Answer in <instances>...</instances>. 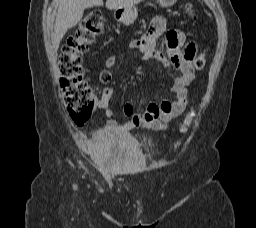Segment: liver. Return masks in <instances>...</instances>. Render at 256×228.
<instances>
[{
  "label": "liver",
  "mask_w": 256,
  "mask_h": 228,
  "mask_svg": "<svg viewBox=\"0 0 256 228\" xmlns=\"http://www.w3.org/2000/svg\"><path fill=\"white\" fill-rule=\"evenodd\" d=\"M143 0H107L106 8L116 10L130 7ZM103 6V0H58V11L52 35V44L55 50L68 29L76 26L83 17L86 8Z\"/></svg>",
  "instance_id": "liver-1"
}]
</instances>
